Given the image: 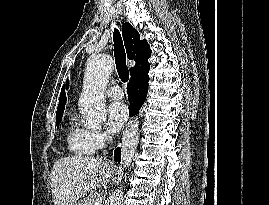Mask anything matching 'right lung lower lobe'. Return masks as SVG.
I'll return each instance as SVG.
<instances>
[{
	"mask_svg": "<svg viewBox=\"0 0 269 205\" xmlns=\"http://www.w3.org/2000/svg\"><path fill=\"white\" fill-rule=\"evenodd\" d=\"M148 81H149L148 72L131 78L127 86L128 100L130 102L129 106L130 116L137 114L139 109L143 105L148 92ZM120 152H121L120 147L114 150V160L119 163L121 159Z\"/></svg>",
	"mask_w": 269,
	"mask_h": 205,
	"instance_id": "1",
	"label": "right lung lower lobe"
}]
</instances>
